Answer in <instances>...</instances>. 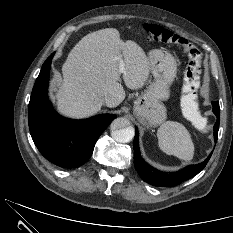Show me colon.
Returning a JSON list of instances; mask_svg holds the SVG:
<instances>
[{"label": "colon", "instance_id": "obj_1", "mask_svg": "<svg viewBox=\"0 0 233 233\" xmlns=\"http://www.w3.org/2000/svg\"><path fill=\"white\" fill-rule=\"evenodd\" d=\"M143 29L153 39L181 47L188 57L184 74L182 106L184 113L191 121H203L204 117L197 103V93L200 86V67L202 54L200 50L184 37L157 24H144ZM204 123V122H203ZM205 127L204 124H200Z\"/></svg>", "mask_w": 233, "mask_h": 233}]
</instances>
